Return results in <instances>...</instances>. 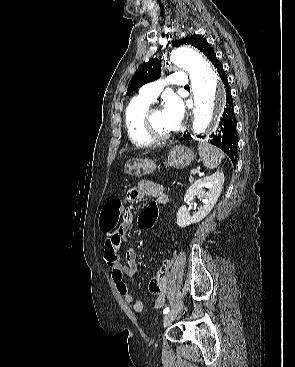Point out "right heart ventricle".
Returning <instances> with one entry per match:
<instances>
[{
  "mask_svg": "<svg viewBox=\"0 0 295 367\" xmlns=\"http://www.w3.org/2000/svg\"><path fill=\"white\" fill-rule=\"evenodd\" d=\"M151 102L134 97L127 105L124 114L125 128L132 143L138 147H149L154 141L147 136L143 127V118Z\"/></svg>",
  "mask_w": 295,
  "mask_h": 367,
  "instance_id": "right-heart-ventricle-1",
  "label": "right heart ventricle"
}]
</instances>
